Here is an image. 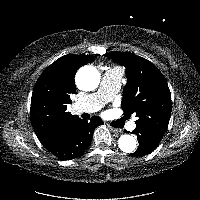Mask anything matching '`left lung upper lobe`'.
Instances as JSON below:
<instances>
[{
  "mask_svg": "<svg viewBox=\"0 0 200 200\" xmlns=\"http://www.w3.org/2000/svg\"><path fill=\"white\" fill-rule=\"evenodd\" d=\"M105 56L126 68L128 82L123 91L124 113L136 115V126L163 136L172 109L171 93L165 77L153 63L132 53L112 51Z\"/></svg>",
  "mask_w": 200,
  "mask_h": 200,
  "instance_id": "5c2ea615",
  "label": "left lung upper lobe"
}]
</instances>
